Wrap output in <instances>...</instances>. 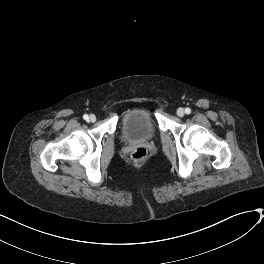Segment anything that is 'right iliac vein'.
<instances>
[{"label": "right iliac vein", "instance_id": "obj_1", "mask_svg": "<svg viewBox=\"0 0 264 264\" xmlns=\"http://www.w3.org/2000/svg\"><path fill=\"white\" fill-rule=\"evenodd\" d=\"M89 120H90L91 122H95V121H96V116L93 115V114L90 115Z\"/></svg>", "mask_w": 264, "mask_h": 264}]
</instances>
